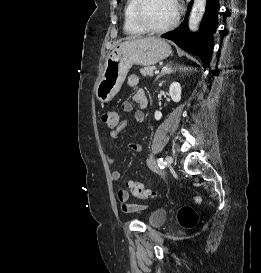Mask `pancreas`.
<instances>
[{
	"label": "pancreas",
	"instance_id": "cf45deb5",
	"mask_svg": "<svg viewBox=\"0 0 261 273\" xmlns=\"http://www.w3.org/2000/svg\"><path fill=\"white\" fill-rule=\"evenodd\" d=\"M155 69H156V67H154V66H146V67L140 69V73L143 76H153Z\"/></svg>",
	"mask_w": 261,
	"mask_h": 273
}]
</instances>
